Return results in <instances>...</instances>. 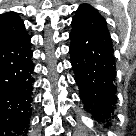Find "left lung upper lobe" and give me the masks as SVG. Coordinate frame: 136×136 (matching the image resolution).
Masks as SVG:
<instances>
[{"mask_svg": "<svg viewBox=\"0 0 136 136\" xmlns=\"http://www.w3.org/2000/svg\"><path fill=\"white\" fill-rule=\"evenodd\" d=\"M85 7H90V5H88V4H82V5L79 7L78 10H80L81 8H85ZM78 10H77V11H78Z\"/></svg>", "mask_w": 136, "mask_h": 136, "instance_id": "5c2ea615", "label": "left lung upper lobe"}]
</instances>
